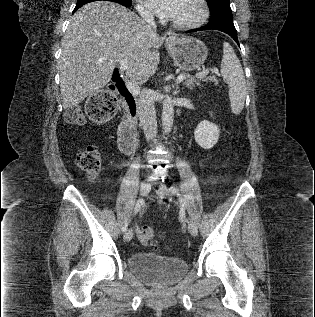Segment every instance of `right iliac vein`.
Returning <instances> with one entry per match:
<instances>
[{
    "instance_id": "obj_1",
    "label": "right iliac vein",
    "mask_w": 315,
    "mask_h": 317,
    "mask_svg": "<svg viewBox=\"0 0 315 317\" xmlns=\"http://www.w3.org/2000/svg\"><path fill=\"white\" fill-rule=\"evenodd\" d=\"M150 189H151L150 181L149 180H145L140 185V194L142 196H146L149 193ZM132 238H133V230L132 229H128L125 232L124 240L125 241H130Z\"/></svg>"
}]
</instances>
